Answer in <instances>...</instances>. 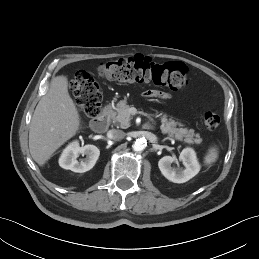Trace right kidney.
I'll return each instance as SVG.
<instances>
[{
	"mask_svg": "<svg viewBox=\"0 0 259 259\" xmlns=\"http://www.w3.org/2000/svg\"><path fill=\"white\" fill-rule=\"evenodd\" d=\"M79 155H86V158L78 161ZM99 155L100 151L96 146L85 145L80 147L78 141H73L63 150L59 158V165L64 169L83 173L93 168Z\"/></svg>",
	"mask_w": 259,
	"mask_h": 259,
	"instance_id": "obj_1",
	"label": "right kidney"
}]
</instances>
